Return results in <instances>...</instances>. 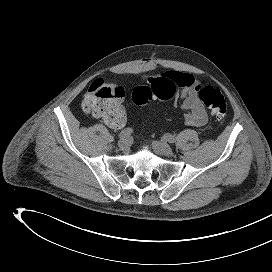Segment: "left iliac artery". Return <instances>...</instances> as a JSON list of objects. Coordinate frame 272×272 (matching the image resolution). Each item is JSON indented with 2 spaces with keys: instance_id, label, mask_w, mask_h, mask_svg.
<instances>
[{
  "instance_id": "44dca946",
  "label": "left iliac artery",
  "mask_w": 272,
  "mask_h": 272,
  "mask_svg": "<svg viewBox=\"0 0 272 272\" xmlns=\"http://www.w3.org/2000/svg\"><path fill=\"white\" fill-rule=\"evenodd\" d=\"M163 139L168 141L169 143H174L175 142L174 136L169 134V133L164 134Z\"/></svg>"
}]
</instances>
